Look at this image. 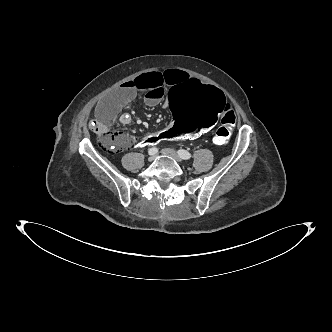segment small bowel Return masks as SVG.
Returning <instances> with one entry per match:
<instances>
[{
    "instance_id": "obj_1",
    "label": "small bowel",
    "mask_w": 332,
    "mask_h": 332,
    "mask_svg": "<svg viewBox=\"0 0 332 332\" xmlns=\"http://www.w3.org/2000/svg\"><path fill=\"white\" fill-rule=\"evenodd\" d=\"M188 82L204 84L198 79L191 77L186 72L178 69L143 73L134 79L126 81L102 98L95 108V119L100 124L106 126L113 122L123 106L136 97L137 92H144L145 103L148 106H155L164 98L167 88L181 86ZM120 121L123 124H129L131 118L126 115H121ZM121 139L125 146L131 145L134 141L129 135H122Z\"/></svg>"
}]
</instances>
